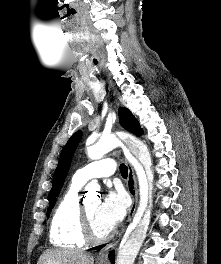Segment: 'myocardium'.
Listing matches in <instances>:
<instances>
[{
    "mask_svg": "<svg viewBox=\"0 0 221 264\" xmlns=\"http://www.w3.org/2000/svg\"><path fill=\"white\" fill-rule=\"evenodd\" d=\"M79 223H80L81 234L86 242L102 243L110 239L112 236L113 233L112 229L102 236H98L94 233L84 203H81L79 207Z\"/></svg>",
    "mask_w": 221,
    "mask_h": 264,
    "instance_id": "obj_1",
    "label": "myocardium"
}]
</instances>
